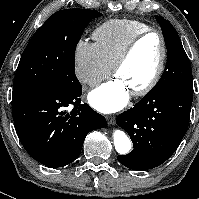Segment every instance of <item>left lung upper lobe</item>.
Returning <instances> with one entry per match:
<instances>
[{
    "mask_svg": "<svg viewBox=\"0 0 199 199\" xmlns=\"http://www.w3.org/2000/svg\"><path fill=\"white\" fill-rule=\"evenodd\" d=\"M160 24L167 48V64L159 82L149 92L159 94L179 86L193 87L192 69L184 51L180 37L172 24L161 16H156Z\"/></svg>",
    "mask_w": 199,
    "mask_h": 199,
    "instance_id": "obj_1",
    "label": "left lung upper lobe"
}]
</instances>
